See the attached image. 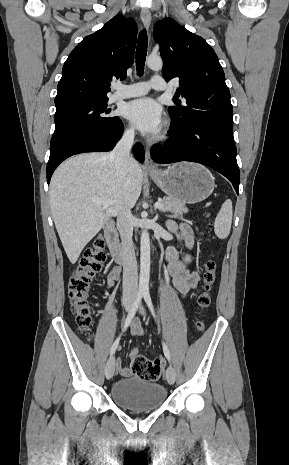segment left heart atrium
I'll return each instance as SVG.
<instances>
[{"mask_svg": "<svg viewBox=\"0 0 289 465\" xmlns=\"http://www.w3.org/2000/svg\"><path fill=\"white\" fill-rule=\"evenodd\" d=\"M124 115L143 133L156 134L162 125L160 106L151 98H140L129 102Z\"/></svg>", "mask_w": 289, "mask_h": 465, "instance_id": "1", "label": "left heart atrium"}]
</instances>
